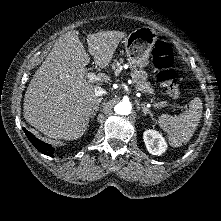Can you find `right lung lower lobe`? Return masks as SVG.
Wrapping results in <instances>:
<instances>
[{"label": "right lung lower lobe", "mask_w": 221, "mask_h": 221, "mask_svg": "<svg viewBox=\"0 0 221 221\" xmlns=\"http://www.w3.org/2000/svg\"><path fill=\"white\" fill-rule=\"evenodd\" d=\"M24 132L34 147L42 154L53 157L54 148L50 144H46L37 139L32 133L24 129Z\"/></svg>", "instance_id": "1"}]
</instances>
